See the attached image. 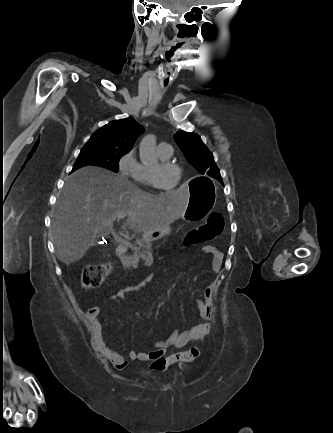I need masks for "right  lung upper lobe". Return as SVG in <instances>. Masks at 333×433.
<instances>
[{"label": "right lung upper lobe", "mask_w": 333, "mask_h": 433, "mask_svg": "<svg viewBox=\"0 0 333 433\" xmlns=\"http://www.w3.org/2000/svg\"><path fill=\"white\" fill-rule=\"evenodd\" d=\"M144 128L133 118L112 121L96 131L85 145H95L130 151Z\"/></svg>", "instance_id": "cb5924a9"}]
</instances>
